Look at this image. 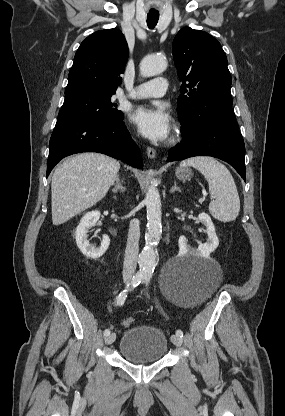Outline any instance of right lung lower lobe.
<instances>
[{
    "label": "right lung lower lobe",
    "mask_w": 285,
    "mask_h": 416,
    "mask_svg": "<svg viewBox=\"0 0 285 416\" xmlns=\"http://www.w3.org/2000/svg\"><path fill=\"white\" fill-rule=\"evenodd\" d=\"M80 152H99L135 168L143 166L140 150L123 121L56 123L49 143L47 177L62 158Z\"/></svg>",
    "instance_id": "1"
}]
</instances>
